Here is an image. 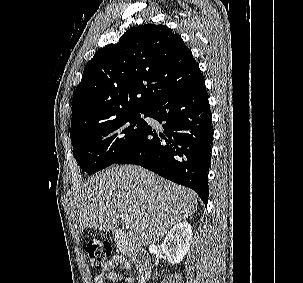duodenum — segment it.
<instances>
[{
    "mask_svg": "<svg viewBox=\"0 0 303 283\" xmlns=\"http://www.w3.org/2000/svg\"><path fill=\"white\" fill-rule=\"evenodd\" d=\"M115 237L118 244L130 252L131 257L137 264L139 273L138 283H146L151 272V260L149 255L141 249L129 247L127 242V234L125 232L117 230L115 232Z\"/></svg>",
    "mask_w": 303,
    "mask_h": 283,
    "instance_id": "duodenum-1",
    "label": "duodenum"
}]
</instances>
